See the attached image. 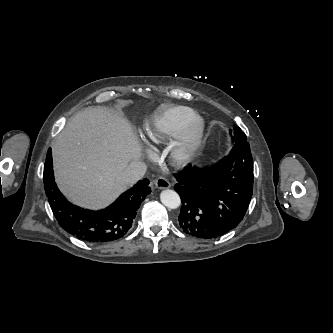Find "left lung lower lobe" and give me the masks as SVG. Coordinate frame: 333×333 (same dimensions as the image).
Returning <instances> with one entry per match:
<instances>
[{
  "label": "left lung lower lobe",
  "instance_id": "0a47b994",
  "mask_svg": "<svg viewBox=\"0 0 333 333\" xmlns=\"http://www.w3.org/2000/svg\"><path fill=\"white\" fill-rule=\"evenodd\" d=\"M232 130H230V133ZM231 152L207 168L188 165L175 175L181 198L179 224L185 233L210 239L227 233L243 219L253 193V160L246 135L233 127Z\"/></svg>",
  "mask_w": 333,
  "mask_h": 333
}]
</instances>
